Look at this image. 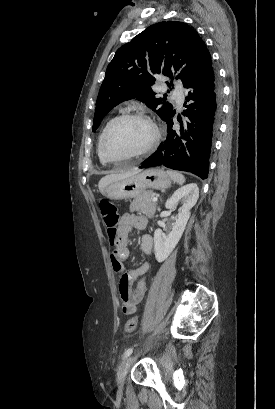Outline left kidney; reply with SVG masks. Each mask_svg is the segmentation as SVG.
<instances>
[{"instance_id":"left-kidney-1","label":"left kidney","mask_w":275,"mask_h":409,"mask_svg":"<svg viewBox=\"0 0 275 409\" xmlns=\"http://www.w3.org/2000/svg\"><path fill=\"white\" fill-rule=\"evenodd\" d=\"M198 196L199 188L196 182H190V184L177 188L172 196L168 198L165 205L166 209L174 211L178 202H182L183 207L179 209L178 219L168 237H165L160 229H157L154 233L155 257L158 263H163L172 253L173 249H175L177 243H179L188 223L190 211L196 205Z\"/></svg>"}]
</instances>
